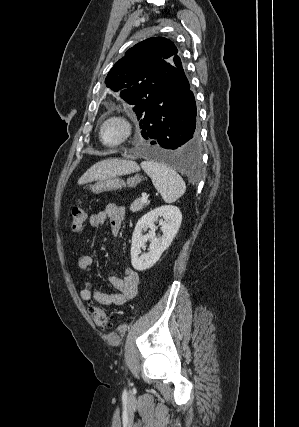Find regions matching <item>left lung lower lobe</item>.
<instances>
[{"label":"left lung lower lobe","mask_w":299,"mask_h":427,"mask_svg":"<svg viewBox=\"0 0 299 427\" xmlns=\"http://www.w3.org/2000/svg\"><path fill=\"white\" fill-rule=\"evenodd\" d=\"M174 63L179 75L161 98L144 110L140 118L143 151L151 158L187 167L197 156L200 139L196 127V102L180 58Z\"/></svg>","instance_id":"obj_1"}]
</instances>
